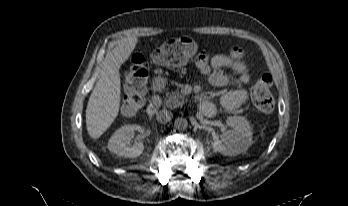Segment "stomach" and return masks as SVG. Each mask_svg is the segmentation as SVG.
<instances>
[{
  "label": "stomach",
  "mask_w": 348,
  "mask_h": 206,
  "mask_svg": "<svg viewBox=\"0 0 348 206\" xmlns=\"http://www.w3.org/2000/svg\"><path fill=\"white\" fill-rule=\"evenodd\" d=\"M180 43L182 44L184 51L188 56H192L195 54V52L197 50V44L193 38L184 37V38L180 39ZM165 80L166 79H164V78H158V81L161 83L165 82Z\"/></svg>",
  "instance_id": "1"
}]
</instances>
